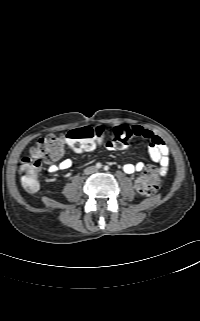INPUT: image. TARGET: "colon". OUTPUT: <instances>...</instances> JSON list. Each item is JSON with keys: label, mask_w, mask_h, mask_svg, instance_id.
<instances>
[{"label": "colon", "mask_w": 200, "mask_h": 321, "mask_svg": "<svg viewBox=\"0 0 200 321\" xmlns=\"http://www.w3.org/2000/svg\"><path fill=\"white\" fill-rule=\"evenodd\" d=\"M107 134L119 149L125 148L129 141L135 137L133 129L126 125L115 126ZM105 135L106 131L102 127L84 126L72 129L65 135L49 134L40 138L31 149L30 154L19 162L23 188L29 193H34L39 189L38 171L41 165L59 156L65 144L78 151H90ZM160 175L157 168L147 167L135 182L137 192L142 196L154 195L159 189Z\"/></svg>", "instance_id": "1"}]
</instances>
